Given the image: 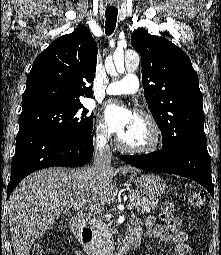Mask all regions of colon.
<instances>
[{"mask_svg": "<svg viewBox=\"0 0 221 255\" xmlns=\"http://www.w3.org/2000/svg\"><path fill=\"white\" fill-rule=\"evenodd\" d=\"M189 203L192 206L199 207L205 203V196L201 192H195L189 197ZM30 255H53V252L47 247H36L32 250Z\"/></svg>", "mask_w": 221, "mask_h": 255, "instance_id": "1", "label": "colon"}]
</instances>
